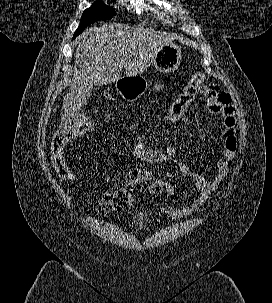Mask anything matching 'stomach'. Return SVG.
<instances>
[{
  "label": "stomach",
  "mask_w": 272,
  "mask_h": 303,
  "mask_svg": "<svg viewBox=\"0 0 272 303\" xmlns=\"http://www.w3.org/2000/svg\"><path fill=\"white\" fill-rule=\"evenodd\" d=\"M181 61V49L174 43L164 45L157 53L153 62L156 70L161 73L174 72ZM116 89L129 101L140 98L145 90V79L142 77H124L116 81Z\"/></svg>",
  "instance_id": "1"
}]
</instances>
